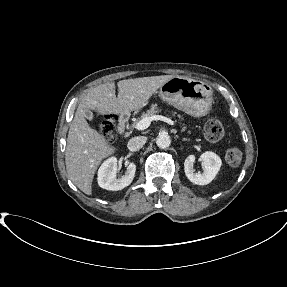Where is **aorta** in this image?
Masks as SVG:
<instances>
[{
	"mask_svg": "<svg viewBox=\"0 0 287 287\" xmlns=\"http://www.w3.org/2000/svg\"><path fill=\"white\" fill-rule=\"evenodd\" d=\"M156 144L161 149H166L171 144L170 136L166 133H161L156 138Z\"/></svg>",
	"mask_w": 287,
	"mask_h": 287,
	"instance_id": "1",
	"label": "aorta"
}]
</instances>
